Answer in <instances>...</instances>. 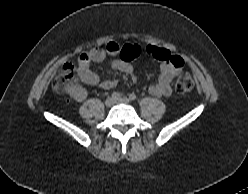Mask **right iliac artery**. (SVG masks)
Wrapping results in <instances>:
<instances>
[{"label": "right iliac artery", "mask_w": 248, "mask_h": 194, "mask_svg": "<svg viewBox=\"0 0 248 194\" xmlns=\"http://www.w3.org/2000/svg\"><path fill=\"white\" fill-rule=\"evenodd\" d=\"M111 97H112V99L116 100L120 97V94L118 92H113Z\"/></svg>", "instance_id": "1"}]
</instances>
